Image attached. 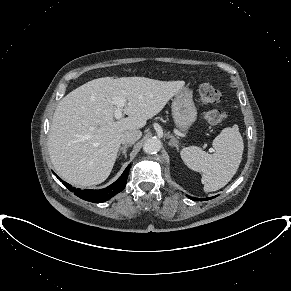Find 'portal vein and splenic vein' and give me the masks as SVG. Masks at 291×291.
I'll return each mask as SVG.
<instances>
[{"label": "portal vein and splenic vein", "instance_id": "18ae733b", "mask_svg": "<svg viewBox=\"0 0 291 291\" xmlns=\"http://www.w3.org/2000/svg\"><path fill=\"white\" fill-rule=\"evenodd\" d=\"M112 102L116 105L114 117L120 119L122 117L123 107L125 106V99L123 97L114 96Z\"/></svg>", "mask_w": 291, "mask_h": 291}]
</instances>
